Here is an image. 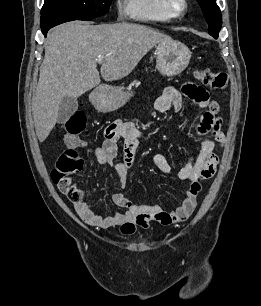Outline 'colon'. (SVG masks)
Instances as JSON below:
<instances>
[{
  "label": "colon",
  "instance_id": "1",
  "mask_svg": "<svg viewBox=\"0 0 261 306\" xmlns=\"http://www.w3.org/2000/svg\"><path fill=\"white\" fill-rule=\"evenodd\" d=\"M198 80L212 90H222L228 84L225 73L214 72L210 69H199L195 72ZM86 128V116L83 112L73 113L65 123L64 141L65 150L57 160L55 168L51 172V178L58 188L64 192L74 203L83 202V194L73 183L71 175L79 172L83 167V160L79 157L76 147L79 136Z\"/></svg>",
  "mask_w": 261,
  "mask_h": 306
}]
</instances>
